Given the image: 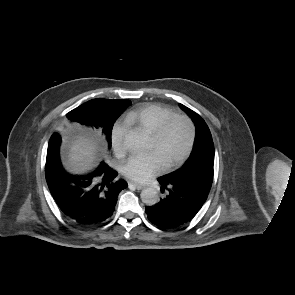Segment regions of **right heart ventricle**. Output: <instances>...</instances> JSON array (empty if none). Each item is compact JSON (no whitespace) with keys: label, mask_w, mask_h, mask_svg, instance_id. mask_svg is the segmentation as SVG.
Masks as SVG:
<instances>
[{"label":"right heart ventricle","mask_w":295,"mask_h":295,"mask_svg":"<svg viewBox=\"0 0 295 295\" xmlns=\"http://www.w3.org/2000/svg\"><path fill=\"white\" fill-rule=\"evenodd\" d=\"M175 112L159 104H147L130 111L125 117V123L140 128L152 134L166 118Z\"/></svg>","instance_id":"right-heart-ventricle-1"}]
</instances>
